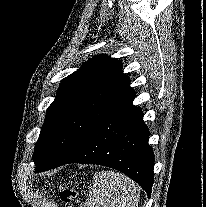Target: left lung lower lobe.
<instances>
[{"label":"left lung lower lobe","instance_id":"1","mask_svg":"<svg viewBox=\"0 0 206 207\" xmlns=\"http://www.w3.org/2000/svg\"><path fill=\"white\" fill-rule=\"evenodd\" d=\"M135 95L129 88L95 123L81 146L66 160L50 164L47 170L68 163L111 167L137 182L149 197L154 154L147 142L149 130L143 122L142 109L133 105Z\"/></svg>","mask_w":206,"mask_h":207}]
</instances>
